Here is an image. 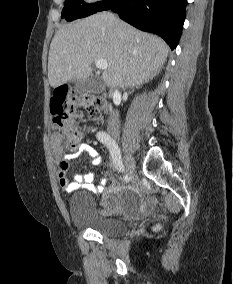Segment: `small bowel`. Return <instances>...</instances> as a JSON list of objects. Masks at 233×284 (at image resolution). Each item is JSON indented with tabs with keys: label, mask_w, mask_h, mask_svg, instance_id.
Segmentation results:
<instances>
[{
	"label": "small bowel",
	"mask_w": 233,
	"mask_h": 284,
	"mask_svg": "<svg viewBox=\"0 0 233 284\" xmlns=\"http://www.w3.org/2000/svg\"><path fill=\"white\" fill-rule=\"evenodd\" d=\"M81 153H86L89 156L90 161L93 165L100 164L101 156L99 152L92 146L85 144V143L79 145V147L76 149L75 152L66 156L64 160L62 161V163L63 162L69 163L70 160L77 157ZM65 172H66V169L62 167L59 173V184L61 188L67 192H71L76 189H86L94 193H103L106 190V184H107L106 178H102L98 186L94 185L93 183L95 179L94 172H90V173L78 176L75 182H71L67 178ZM113 190H114L113 187H109L107 189L108 192H112ZM101 206H102L101 207L102 213H109L114 209L115 203L109 197H105L102 200Z\"/></svg>",
	"instance_id": "obj_1"
}]
</instances>
